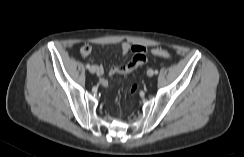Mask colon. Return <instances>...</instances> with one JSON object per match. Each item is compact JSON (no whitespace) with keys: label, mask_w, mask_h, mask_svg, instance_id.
<instances>
[{"label":"colon","mask_w":244,"mask_h":157,"mask_svg":"<svg viewBox=\"0 0 244 157\" xmlns=\"http://www.w3.org/2000/svg\"><path fill=\"white\" fill-rule=\"evenodd\" d=\"M152 54L156 55V56H160V57H164V58H169L171 56L170 52L162 49V48H155L152 50ZM135 60L138 61L139 63H145L146 61V51L142 50L140 52H138L135 56H134ZM138 90V85L134 84L131 87V93L134 94L136 93Z\"/></svg>","instance_id":"1"}]
</instances>
